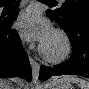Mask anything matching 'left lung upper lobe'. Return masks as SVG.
I'll return each instance as SVG.
<instances>
[{
    "label": "left lung upper lobe",
    "mask_w": 89,
    "mask_h": 89,
    "mask_svg": "<svg viewBox=\"0 0 89 89\" xmlns=\"http://www.w3.org/2000/svg\"><path fill=\"white\" fill-rule=\"evenodd\" d=\"M62 26H69L79 17L89 18V0H65L60 9L53 11Z\"/></svg>",
    "instance_id": "1"
}]
</instances>
